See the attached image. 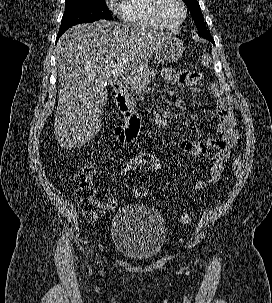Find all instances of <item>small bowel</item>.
Masks as SVG:
<instances>
[{
	"mask_svg": "<svg viewBox=\"0 0 272 303\" xmlns=\"http://www.w3.org/2000/svg\"><path fill=\"white\" fill-rule=\"evenodd\" d=\"M163 78L166 82L186 86H197L201 81V75L197 72L179 71L174 68L164 70ZM209 91L217 99L215 106L217 114L216 136L211 139L184 140L180 143L181 148L190 155H202L211 161L209 176L195 182L194 188L196 190H203L220 179L230 152L239 136L231 103L223 96L220 86L211 83ZM134 138H130L126 142H131Z\"/></svg>",
	"mask_w": 272,
	"mask_h": 303,
	"instance_id": "c3829d8e",
	"label": "small bowel"
}]
</instances>
